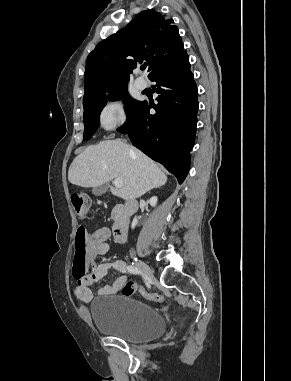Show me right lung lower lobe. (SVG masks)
Segmentation results:
<instances>
[{"mask_svg": "<svg viewBox=\"0 0 291 381\" xmlns=\"http://www.w3.org/2000/svg\"><path fill=\"white\" fill-rule=\"evenodd\" d=\"M159 96L157 104L140 102L127 122L118 129L130 133L135 147L161 163L181 184L190 166L198 112L197 86L183 49L150 77ZM153 107L155 114H150Z\"/></svg>", "mask_w": 291, "mask_h": 381, "instance_id": "right-lung-lower-lobe-1", "label": "right lung lower lobe"}]
</instances>
